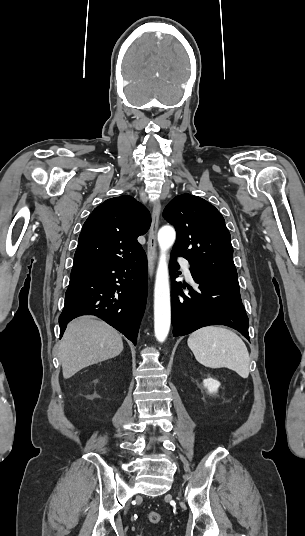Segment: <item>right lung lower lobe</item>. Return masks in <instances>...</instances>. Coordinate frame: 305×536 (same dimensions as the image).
Returning <instances> with one entry per match:
<instances>
[{
	"instance_id": "right-lung-lower-lobe-1",
	"label": "right lung lower lobe",
	"mask_w": 305,
	"mask_h": 536,
	"mask_svg": "<svg viewBox=\"0 0 305 536\" xmlns=\"http://www.w3.org/2000/svg\"><path fill=\"white\" fill-rule=\"evenodd\" d=\"M147 298V259L138 256L71 273L59 317L60 337L66 325L81 315H95L136 345Z\"/></svg>"
}]
</instances>
